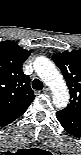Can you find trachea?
Listing matches in <instances>:
<instances>
[{
    "label": "trachea",
    "instance_id": "3493384b",
    "mask_svg": "<svg viewBox=\"0 0 81 155\" xmlns=\"http://www.w3.org/2000/svg\"><path fill=\"white\" fill-rule=\"evenodd\" d=\"M32 87L37 90H41L43 88V84L39 79H34L32 82Z\"/></svg>",
    "mask_w": 81,
    "mask_h": 155
}]
</instances>
